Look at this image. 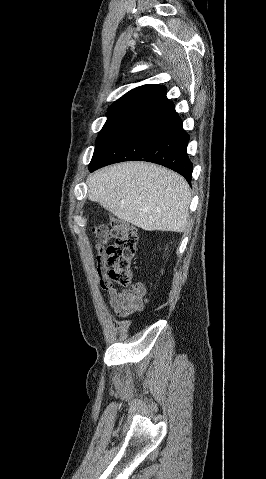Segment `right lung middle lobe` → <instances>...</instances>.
I'll return each mask as SVG.
<instances>
[{"label":"right lung middle lobe","mask_w":266,"mask_h":479,"mask_svg":"<svg viewBox=\"0 0 266 479\" xmlns=\"http://www.w3.org/2000/svg\"><path fill=\"white\" fill-rule=\"evenodd\" d=\"M134 112L107 114L108 119L99 133L90 165L95 161L109 141L136 115Z\"/></svg>","instance_id":"right-lung-middle-lobe-1"}]
</instances>
